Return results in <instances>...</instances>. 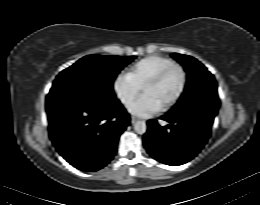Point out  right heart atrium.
I'll list each match as a JSON object with an SVG mask.
<instances>
[{"mask_svg":"<svg viewBox=\"0 0 260 205\" xmlns=\"http://www.w3.org/2000/svg\"><path fill=\"white\" fill-rule=\"evenodd\" d=\"M114 89L118 97L124 102L128 103L136 96V91L131 88L125 78H118L114 83Z\"/></svg>","mask_w":260,"mask_h":205,"instance_id":"right-heart-atrium-1","label":"right heart atrium"}]
</instances>
